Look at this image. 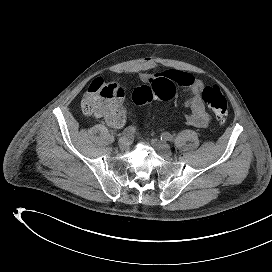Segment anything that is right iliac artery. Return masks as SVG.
Listing matches in <instances>:
<instances>
[{
	"instance_id": "obj_1",
	"label": "right iliac artery",
	"mask_w": 272,
	"mask_h": 272,
	"mask_svg": "<svg viewBox=\"0 0 272 272\" xmlns=\"http://www.w3.org/2000/svg\"><path fill=\"white\" fill-rule=\"evenodd\" d=\"M135 128L132 126H129L127 128H125L122 132V136L126 137V136H130L135 132Z\"/></svg>"
}]
</instances>
